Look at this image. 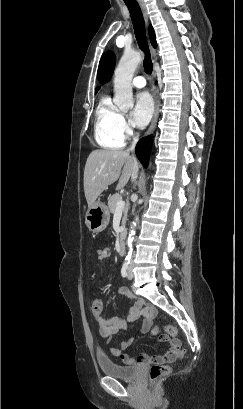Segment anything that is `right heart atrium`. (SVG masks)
<instances>
[{"instance_id":"1","label":"right heart atrium","mask_w":243,"mask_h":409,"mask_svg":"<svg viewBox=\"0 0 243 409\" xmlns=\"http://www.w3.org/2000/svg\"><path fill=\"white\" fill-rule=\"evenodd\" d=\"M117 129L123 137L130 135L132 132V129L127 123L125 116L122 114L119 115V118L117 120Z\"/></svg>"}]
</instances>
